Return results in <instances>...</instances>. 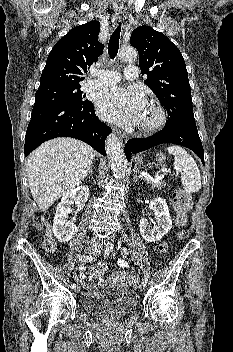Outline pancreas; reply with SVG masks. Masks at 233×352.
Returning a JSON list of instances; mask_svg holds the SVG:
<instances>
[{"instance_id": "obj_1", "label": "pancreas", "mask_w": 233, "mask_h": 352, "mask_svg": "<svg viewBox=\"0 0 233 352\" xmlns=\"http://www.w3.org/2000/svg\"><path fill=\"white\" fill-rule=\"evenodd\" d=\"M147 182L151 184L152 188L161 189L163 186H165V183H163L162 181H160V182H151V181L147 180Z\"/></svg>"}]
</instances>
